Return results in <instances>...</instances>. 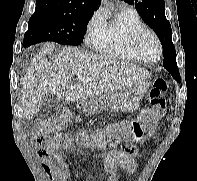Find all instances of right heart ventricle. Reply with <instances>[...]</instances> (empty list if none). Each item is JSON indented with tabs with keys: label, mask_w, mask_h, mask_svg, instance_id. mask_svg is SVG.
Here are the masks:
<instances>
[{
	"label": "right heart ventricle",
	"mask_w": 197,
	"mask_h": 181,
	"mask_svg": "<svg viewBox=\"0 0 197 181\" xmlns=\"http://www.w3.org/2000/svg\"><path fill=\"white\" fill-rule=\"evenodd\" d=\"M141 27L144 23L138 12L131 7H123L113 18L103 19L91 40L92 49L105 57L140 62L131 49V38Z\"/></svg>",
	"instance_id": "e07e8e85"
}]
</instances>
